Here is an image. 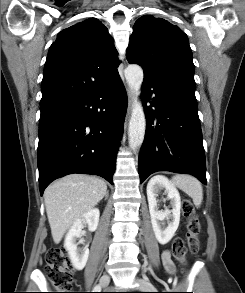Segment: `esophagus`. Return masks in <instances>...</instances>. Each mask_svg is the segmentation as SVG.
<instances>
[{
	"label": "esophagus",
	"instance_id": "esophagus-1",
	"mask_svg": "<svg viewBox=\"0 0 245 293\" xmlns=\"http://www.w3.org/2000/svg\"><path fill=\"white\" fill-rule=\"evenodd\" d=\"M133 102V93L131 90H128V111H127V117L129 116L130 108Z\"/></svg>",
	"mask_w": 245,
	"mask_h": 293
}]
</instances>
